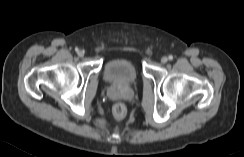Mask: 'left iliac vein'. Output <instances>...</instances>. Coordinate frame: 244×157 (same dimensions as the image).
<instances>
[{"instance_id":"4c4485c4","label":"left iliac vein","mask_w":244,"mask_h":157,"mask_svg":"<svg viewBox=\"0 0 244 157\" xmlns=\"http://www.w3.org/2000/svg\"><path fill=\"white\" fill-rule=\"evenodd\" d=\"M167 61H168V58L167 57L164 56V57L161 58V62L163 64H165Z\"/></svg>"}]
</instances>
